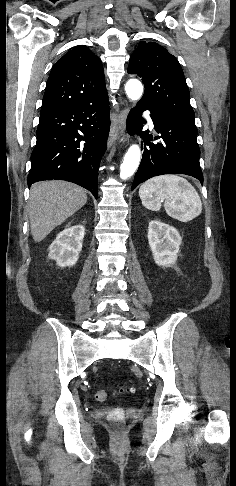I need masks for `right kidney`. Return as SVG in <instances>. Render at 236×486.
<instances>
[{
    "instance_id": "obj_1",
    "label": "right kidney",
    "mask_w": 236,
    "mask_h": 486,
    "mask_svg": "<svg viewBox=\"0 0 236 486\" xmlns=\"http://www.w3.org/2000/svg\"><path fill=\"white\" fill-rule=\"evenodd\" d=\"M84 234L85 228L82 225L65 228L49 246L48 257L60 267L75 265L82 250Z\"/></svg>"
}]
</instances>
